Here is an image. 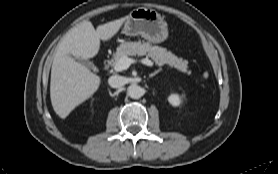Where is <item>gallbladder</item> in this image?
<instances>
[{
  "label": "gallbladder",
  "instance_id": "obj_1",
  "mask_svg": "<svg viewBox=\"0 0 278 174\" xmlns=\"http://www.w3.org/2000/svg\"><path fill=\"white\" fill-rule=\"evenodd\" d=\"M72 57H74L75 59H77L78 61H80L82 64H84L85 66H87V67H89V68H91V69H94V68H95L94 65H93V63L90 62V61H88V60H83V59L77 58V57H75V56H72Z\"/></svg>",
  "mask_w": 278,
  "mask_h": 174
}]
</instances>
